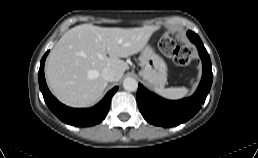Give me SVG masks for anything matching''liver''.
Masks as SVG:
<instances>
[{
	"label": "liver",
	"mask_w": 258,
	"mask_h": 158,
	"mask_svg": "<svg viewBox=\"0 0 258 158\" xmlns=\"http://www.w3.org/2000/svg\"><path fill=\"white\" fill-rule=\"evenodd\" d=\"M157 30L141 28H103L82 24L71 28L52 49L45 68L52 93L64 104L85 107L95 103L107 86L104 68L116 72L119 81L128 64L127 58L140 52Z\"/></svg>",
	"instance_id": "6515ba94"
}]
</instances>
